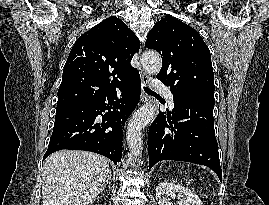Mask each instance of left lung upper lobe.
I'll return each mask as SVG.
<instances>
[{
	"mask_svg": "<svg viewBox=\"0 0 269 205\" xmlns=\"http://www.w3.org/2000/svg\"><path fill=\"white\" fill-rule=\"evenodd\" d=\"M145 46L160 53L162 68L157 79L170 87L174 98L214 100L210 51L195 29L166 16L150 30Z\"/></svg>",
	"mask_w": 269,
	"mask_h": 205,
	"instance_id": "obj_1",
	"label": "left lung upper lobe"
}]
</instances>
